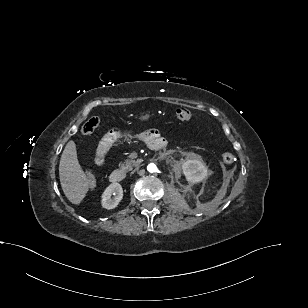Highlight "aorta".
<instances>
[{"mask_svg": "<svg viewBox=\"0 0 308 308\" xmlns=\"http://www.w3.org/2000/svg\"><path fill=\"white\" fill-rule=\"evenodd\" d=\"M147 170L150 172V173H153V172H156L157 171V167L154 163H150L148 166H147Z\"/></svg>", "mask_w": 308, "mask_h": 308, "instance_id": "762f6f07", "label": "aorta"}]
</instances>
